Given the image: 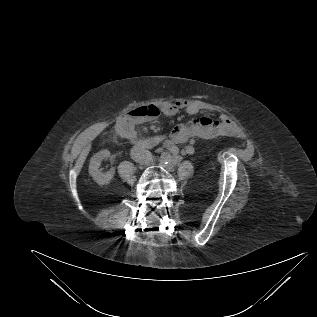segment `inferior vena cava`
I'll return each mask as SVG.
<instances>
[{"label":"inferior vena cava","instance_id":"inferior-vena-cava-1","mask_svg":"<svg viewBox=\"0 0 317 317\" xmlns=\"http://www.w3.org/2000/svg\"><path fill=\"white\" fill-rule=\"evenodd\" d=\"M132 159L142 165H148L152 161V154L149 150L135 146L131 149Z\"/></svg>","mask_w":317,"mask_h":317}]
</instances>
